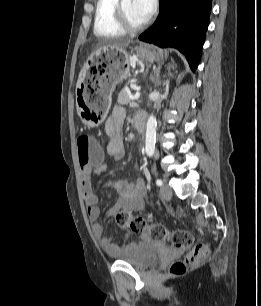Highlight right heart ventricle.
<instances>
[{
    "label": "right heart ventricle",
    "mask_w": 261,
    "mask_h": 306,
    "mask_svg": "<svg viewBox=\"0 0 261 306\" xmlns=\"http://www.w3.org/2000/svg\"><path fill=\"white\" fill-rule=\"evenodd\" d=\"M118 0H97L94 14V34L103 38H119L125 31L119 25L116 16Z\"/></svg>",
    "instance_id": "obj_1"
}]
</instances>
